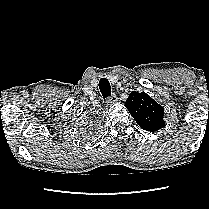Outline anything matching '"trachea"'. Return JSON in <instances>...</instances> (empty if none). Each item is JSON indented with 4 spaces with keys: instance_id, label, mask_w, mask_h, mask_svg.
<instances>
[{
    "instance_id": "trachea-1",
    "label": "trachea",
    "mask_w": 209,
    "mask_h": 209,
    "mask_svg": "<svg viewBox=\"0 0 209 209\" xmlns=\"http://www.w3.org/2000/svg\"><path fill=\"white\" fill-rule=\"evenodd\" d=\"M98 85L103 98L111 96V86L106 78H101Z\"/></svg>"
}]
</instances>
